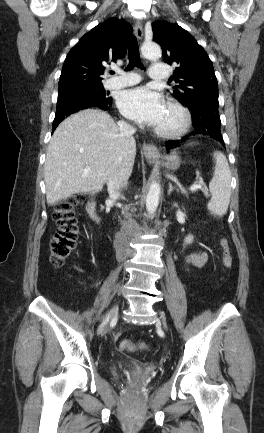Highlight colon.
<instances>
[{
    "instance_id": "5ec220e1",
    "label": "colon",
    "mask_w": 264,
    "mask_h": 433,
    "mask_svg": "<svg viewBox=\"0 0 264 433\" xmlns=\"http://www.w3.org/2000/svg\"><path fill=\"white\" fill-rule=\"evenodd\" d=\"M83 201V196L77 194L73 197L59 201L54 207V219L57 222V231L50 241V260L55 266H61L67 260L76 246L79 235V223L75 214V207ZM222 249V263L225 268H231L233 257L230 252L229 242L226 238L220 241ZM145 343H132L124 340L120 343L123 353L146 349Z\"/></svg>"
}]
</instances>
